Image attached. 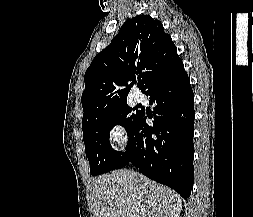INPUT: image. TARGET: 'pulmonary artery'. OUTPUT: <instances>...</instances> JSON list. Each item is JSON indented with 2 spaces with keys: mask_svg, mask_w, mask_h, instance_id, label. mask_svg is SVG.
Instances as JSON below:
<instances>
[{
  "mask_svg": "<svg viewBox=\"0 0 253 217\" xmlns=\"http://www.w3.org/2000/svg\"><path fill=\"white\" fill-rule=\"evenodd\" d=\"M135 100L137 102H143L144 101V95L140 92L135 93Z\"/></svg>",
  "mask_w": 253,
  "mask_h": 217,
  "instance_id": "1",
  "label": "pulmonary artery"
}]
</instances>
